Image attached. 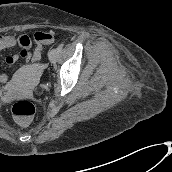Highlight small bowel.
Wrapping results in <instances>:
<instances>
[{
  "mask_svg": "<svg viewBox=\"0 0 172 172\" xmlns=\"http://www.w3.org/2000/svg\"><path fill=\"white\" fill-rule=\"evenodd\" d=\"M44 32H36L33 37L28 35L0 34V51L13 47H20V51L16 54L6 57L5 61L9 65L15 64L22 59L25 62H36L41 59V50L43 45L51 42H42L39 40ZM9 76L7 74L0 75V82H7Z\"/></svg>",
  "mask_w": 172,
  "mask_h": 172,
  "instance_id": "small-bowel-1",
  "label": "small bowel"
}]
</instances>
